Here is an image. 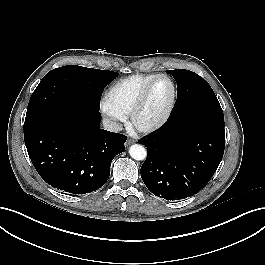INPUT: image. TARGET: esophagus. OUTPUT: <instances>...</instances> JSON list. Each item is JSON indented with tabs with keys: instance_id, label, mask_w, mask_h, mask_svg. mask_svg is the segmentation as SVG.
Wrapping results in <instances>:
<instances>
[{
	"instance_id": "obj_1",
	"label": "esophagus",
	"mask_w": 265,
	"mask_h": 265,
	"mask_svg": "<svg viewBox=\"0 0 265 265\" xmlns=\"http://www.w3.org/2000/svg\"><path fill=\"white\" fill-rule=\"evenodd\" d=\"M133 142H134V140H132V139H129V140H127V141H126V143H125V144H126V146H128V145L132 144Z\"/></svg>"
}]
</instances>
